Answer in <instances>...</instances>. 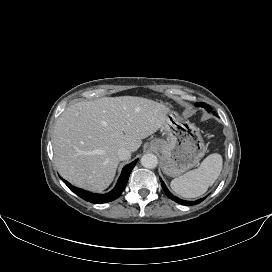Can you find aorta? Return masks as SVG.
Wrapping results in <instances>:
<instances>
[{
	"label": "aorta",
	"instance_id": "aorta-1",
	"mask_svg": "<svg viewBox=\"0 0 272 272\" xmlns=\"http://www.w3.org/2000/svg\"><path fill=\"white\" fill-rule=\"evenodd\" d=\"M141 164L145 168L153 169V168H155L157 166L158 159L154 154L148 153V154H145V155L142 156Z\"/></svg>",
	"mask_w": 272,
	"mask_h": 272
}]
</instances>
